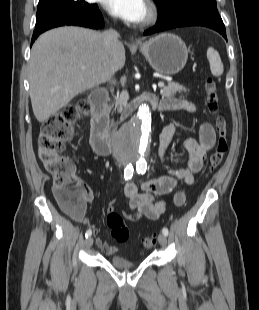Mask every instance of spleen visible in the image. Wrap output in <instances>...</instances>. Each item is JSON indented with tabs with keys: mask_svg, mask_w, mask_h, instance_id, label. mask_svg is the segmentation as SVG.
I'll use <instances>...</instances> for the list:
<instances>
[{
	"mask_svg": "<svg viewBox=\"0 0 259 310\" xmlns=\"http://www.w3.org/2000/svg\"><path fill=\"white\" fill-rule=\"evenodd\" d=\"M207 59L210 64L211 73L214 76H220L223 73V64L219 53L212 47L207 49Z\"/></svg>",
	"mask_w": 259,
	"mask_h": 310,
	"instance_id": "spleen-1",
	"label": "spleen"
}]
</instances>
